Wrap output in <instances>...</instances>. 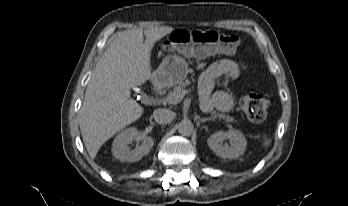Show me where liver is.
Here are the masks:
<instances>
[{"label":"liver","instance_id":"obj_1","mask_svg":"<svg viewBox=\"0 0 348 206\" xmlns=\"http://www.w3.org/2000/svg\"><path fill=\"white\" fill-rule=\"evenodd\" d=\"M173 30L161 26L119 32L99 59L85 91L79 120L91 159L107 140L143 114L144 108L130 98V89L154 76L152 48Z\"/></svg>","mask_w":348,"mask_h":206}]
</instances>
